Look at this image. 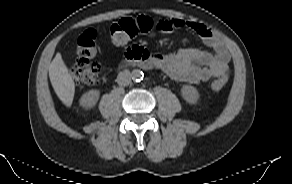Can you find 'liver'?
<instances>
[{
	"label": "liver",
	"mask_w": 292,
	"mask_h": 184,
	"mask_svg": "<svg viewBox=\"0 0 292 184\" xmlns=\"http://www.w3.org/2000/svg\"><path fill=\"white\" fill-rule=\"evenodd\" d=\"M49 78L59 99L70 107L75 93V83L60 53H57L49 66Z\"/></svg>",
	"instance_id": "liver-1"
}]
</instances>
